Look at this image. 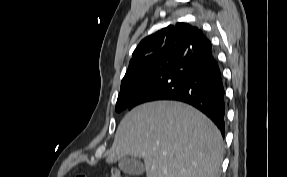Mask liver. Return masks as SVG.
<instances>
[{"mask_svg": "<svg viewBox=\"0 0 287 177\" xmlns=\"http://www.w3.org/2000/svg\"><path fill=\"white\" fill-rule=\"evenodd\" d=\"M220 131L195 108L175 101L137 106L120 122L107 162L141 157L147 177H218Z\"/></svg>", "mask_w": 287, "mask_h": 177, "instance_id": "liver-1", "label": "liver"}]
</instances>
